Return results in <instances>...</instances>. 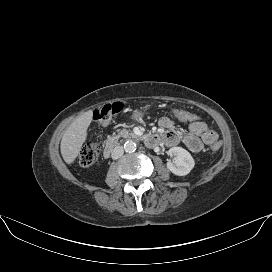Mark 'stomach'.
Returning <instances> with one entry per match:
<instances>
[{
	"instance_id": "stomach-1",
	"label": "stomach",
	"mask_w": 272,
	"mask_h": 272,
	"mask_svg": "<svg viewBox=\"0 0 272 272\" xmlns=\"http://www.w3.org/2000/svg\"><path fill=\"white\" fill-rule=\"evenodd\" d=\"M143 115L142 111H135L133 114V118L137 119Z\"/></svg>"
}]
</instances>
